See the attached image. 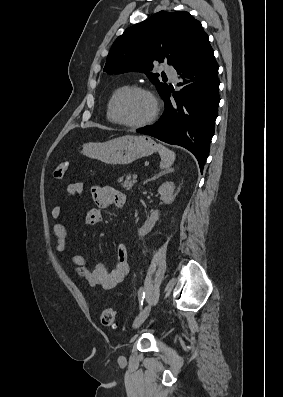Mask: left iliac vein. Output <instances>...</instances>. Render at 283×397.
I'll use <instances>...</instances> for the list:
<instances>
[{
    "label": "left iliac vein",
    "instance_id": "obj_1",
    "mask_svg": "<svg viewBox=\"0 0 283 397\" xmlns=\"http://www.w3.org/2000/svg\"><path fill=\"white\" fill-rule=\"evenodd\" d=\"M151 310V305L148 304L147 306L144 307V309H142L140 311V313L138 314V316L136 317V319L134 320L133 323V328H138L148 317L149 313Z\"/></svg>",
    "mask_w": 283,
    "mask_h": 397
}]
</instances>
